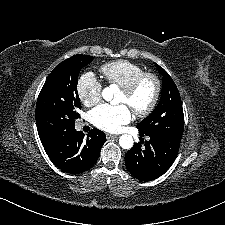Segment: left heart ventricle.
I'll list each match as a JSON object with an SVG mask.
<instances>
[{"label":"left heart ventricle","mask_w":225,"mask_h":225,"mask_svg":"<svg viewBox=\"0 0 225 225\" xmlns=\"http://www.w3.org/2000/svg\"><path fill=\"white\" fill-rule=\"evenodd\" d=\"M153 92V82L146 79L131 95H126L121 91L118 102L127 105L132 111L141 110L149 104L153 96Z\"/></svg>","instance_id":"obj_1"}]
</instances>
